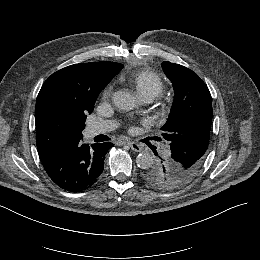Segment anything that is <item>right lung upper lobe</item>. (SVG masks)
Here are the masks:
<instances>
[{
    "label": "right lung upper lobe",
    "instance_id": "obj_1",
    "mask_svg": "<svg viewBox=\"0 0 260 260\" xmlns=\"http://www.w3.org/2000/svg\"><path fill=\"white\" fill-rule=\"evenodd\" d=\"M123 68L116 62H90L65 67L42 85L35 108L37 150L43 165L82 139V128L71 118L74 104L100 91Z\"/></svg>",
    "mask_w": 260,
    "mask_h": 260
}]
</instances>
